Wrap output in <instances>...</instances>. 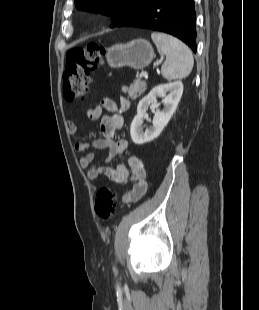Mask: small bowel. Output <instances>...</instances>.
<instances>
[{"mask_svg":"<svg viewBox=\"0 0 259 310\" xmlns=\"http://www.w3.org/2000/svg\"><path fill=\"white\" fill-rule=\"evenodd\" d=\"M130 108V102L126 98H121L117 104L114 100L103 99L95 107L87 110V117L90 120L100 119V131L102 138L95 139L91 143L76 141L74 150L77 153H84L87 148L92 147L96 150H106L108 155L100 164L94 163L95 154L86 153L81 157L79 165L87 170V178L96 180L101 175H106L111 181L118 184H132V189L123 197L124 203H132L140 200L147 192V174L143 161L138 156H130L128 164H117L112 166V159L121 155L127 148L128 142L121 139L114 141L116 131L122 129L124 118L122 114ZM66 130L70 136L78 132V125L74 121L66 123Z\"/></svg>","mask_w":259,"mask_h":310,"instance_id":"c3829d8e","label":"small bowel"}]
</instances>
